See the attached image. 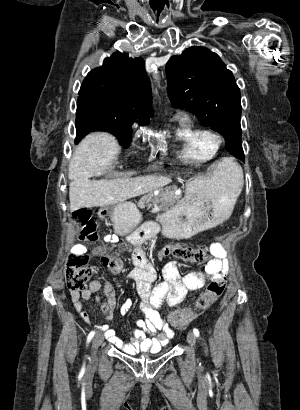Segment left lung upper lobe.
<instances>
[{"instance_id":"5c2ea615","label":"left lung upper lobe","mask_w":300,"mask_h":410,"mask_svg":"<svg viewBox=\"0 0 300 410\" xmlns=\"http://www.w3.org/2000/svg\"><path fill=\"white\" fill-rule=\"evenodd\" d=\"M172 105L193 112L202 125L222 134L236 158L244 161L241 145V96L236 81L220 57L192 46L166 64Z\"/></svg>"}]
</instances>
